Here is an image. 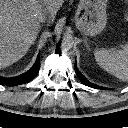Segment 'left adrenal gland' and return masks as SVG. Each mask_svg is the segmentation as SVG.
<instances>
[{"label": "left adrenal gland", "mask_w": 128, "mask_h": 128, "mask_svg": "<svg viewBox=\"0 0 128 128\" xmlns=\"http://www.w3.org/2000/svg\"><path fill=\"white\" fill-rule=\"evenodd\" d=\"M84 42H85V44H86V47L90 50V48H89V46H88V44H87V41L84 40Z\"/></svg>", "instance_id": "obj_1"}]
</instances>
